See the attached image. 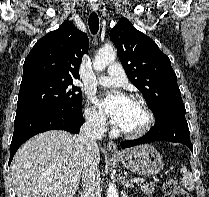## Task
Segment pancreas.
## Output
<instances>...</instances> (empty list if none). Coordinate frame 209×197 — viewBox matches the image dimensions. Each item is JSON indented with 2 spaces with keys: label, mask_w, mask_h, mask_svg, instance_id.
Returning <instances> with one entry per match:
<instances>
[{
  "label": "pancreas",
  "mask_w": 209,
  "mask_h": 197,
  "mask_svg": "<svg viewBox=\"0 0 209 197\" xmlns=\"http://www.w3.org/2000/svg\"><path fill=\"white\" fill-rule=\"evenodd\" d=\"M138 187L146 194L151 195L155 191V185L153 183L147 184L144 182H138Z\"/></svg>",
  "instance_id": "cf45deb5"
}]
</instances>
